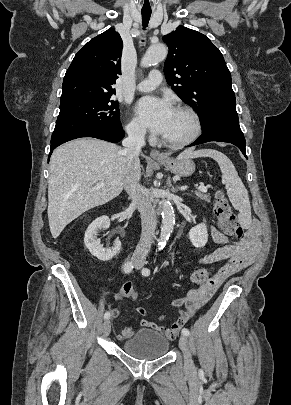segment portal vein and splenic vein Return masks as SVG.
Masks as SVG:
<instances>
[{
	"label": "portal vein and splenic vein",
	"mask_w": 291,
	"mask_h": 405,
	"mask_svg": "<svg viewBox=\"0 0 291 405\" xmlns=\"http://www.w3.org/2000/svg\"><path fill=\"white\" fill-rule=\"evenodd\" d=\"M105 185V183L103 182V181H99V182H97V184H96V187H103ZM188 189V186H182L181 188H180V190L181 191H185V190H187ZM198 190L199 191H201V192H207V187L206 186H204V185H200L199 187H198Z\"/></svg>",
	"instance_id": "1"
}]
</instances>
